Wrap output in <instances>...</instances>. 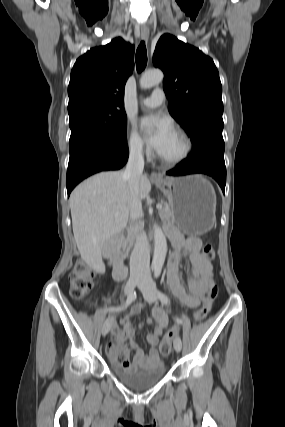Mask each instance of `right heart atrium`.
<instances>
[{"label": "right heart atrium", "instance_id": "right-heart-atrium-1", "mask_svg": "<svg viewBox=\"0 0 285 427\" xmlns=\"http://www.w3.org/2000/svg\"><path fill=\"white\" fill-rule=\"evenodd\" d=\"M126 144L129 153L135 157H142L149 154V150L143 139L133 127L128 130Z\"/></svg>", "mask_w": 285, "mask_h": 427}]
</instances>
